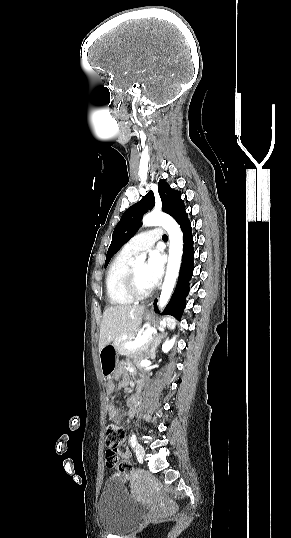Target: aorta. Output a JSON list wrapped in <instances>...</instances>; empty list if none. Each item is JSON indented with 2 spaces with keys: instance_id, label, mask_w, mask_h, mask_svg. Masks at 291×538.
<instances>
[{
  "instance_id": "aorta-1",
  "label": "aorta",
  "mask_w": 291,
  "mask_h": 538,
  "mask_svg": "<svg viewBox=\"0 0 291 538\" xmlns=\"http://www.w3.org/2000/svg\"><path fill=\"white\" fill-rule=\"evenodd\" d=\"M142 222L145 226L161 225L169 234L170 247L168 265L159 298V308L163 309L168 303L170 296L173 292L180 269L183 248V236L179 225L168 214L162 212H151L143 217ZM145 260L146 256L142 254L136 257L133 264L135 267H141L145 263Z\"/></svg>"
}]
</instances>
